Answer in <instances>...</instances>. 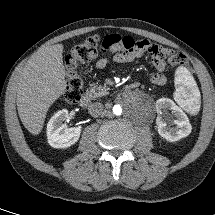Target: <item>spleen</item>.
Masks as SVG:
<instances>
[{
	"label": "spleen",
	"instance_id": "3e777b00",
	"mask_svg": "<svg viewBox=\"0 0 215 215\" xmlns=\"http://www.w3.org/2000/svg\"><path fill=\"white\" fill-rule=\"evenodd\" d=\"M175 87L174 98L176 102L187 112H196L200 101V93L186 68L179 67L177 69Z\"/></svg>",
	"mask_w": 215,
	"mask_h": 215
}]
</instances>
